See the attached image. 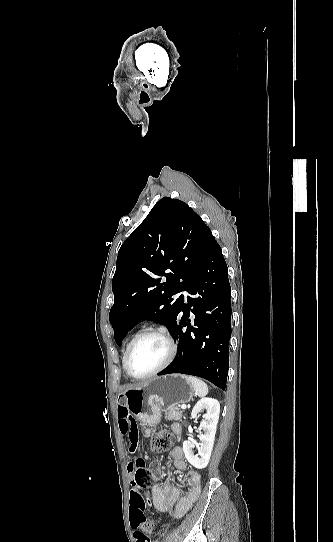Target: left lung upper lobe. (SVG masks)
<instances>
[{
	"label": "left lung upper lobe",
	"mask_w": 333,
	"mask_h": 542,
	"mask_svg": "<svg viewBox=\"0 0 333 542\" xmlns=\"http://www.w3.org/2000/svg\"><path fill=\"white\" fill-rule=\"evenodd\" d=\"M213 238L185 202L164 197L155 204L118 252L109 321L119 346L128 331L145 319L173 331L183 310V295L172 296L187 290Z\"/></svg>",
	"instance_id": "5c2ea615"
}]
</instances>
